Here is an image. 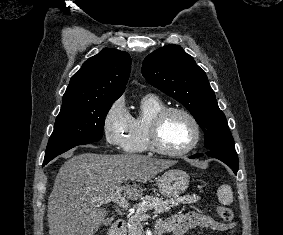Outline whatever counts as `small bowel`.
<instances>
[{"label":"small bowel","instance_id":"c3829d8e","mask_svg":"<svg viewBox=\"0 0 283 235\" xmlns=\"http://www.w3.org/2000/svg\"><path fill=\"white\" fill-rule=\"evenodd\" d=\"M158 235L172 233L173 235H186L193 229H210L213 231H227L232 233L233 225L219 222L212 217L198 213L175 214L166 220L158 221Z\"/></svg>","mask_w":283,"mask_h":235}]
</instances>
